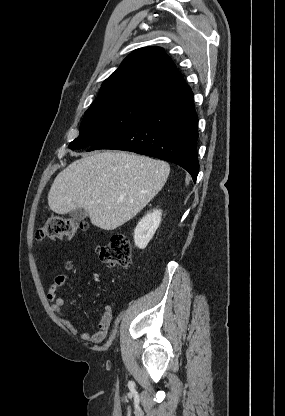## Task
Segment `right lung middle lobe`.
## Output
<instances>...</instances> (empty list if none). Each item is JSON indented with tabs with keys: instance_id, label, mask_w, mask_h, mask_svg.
Returning <instances> with one entry per match:
<instances>
[{
	"instance_id": "right-lung-middle-lobe-1",
	"label": "right lung middle lobe",
	"mask_w": 285,
	"mask_h": 416,
	"mask_svg": "<svg viewBox=\"0 0 285 416\" xmlns=\"http://www.w3.org/2000/svg\"><path fill=\"white\" fill-rule=\"evenodd\" d=\"M161 108L154 102L133 95L93 104L85 112L80 134L69 144V148L92 146Z\"/></svg>"
}]
</instances>
